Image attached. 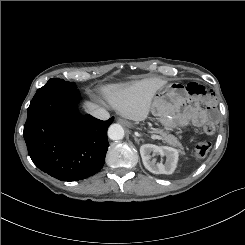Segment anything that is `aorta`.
I'll return each mask as SVG.
<instances>
[{"label": "aorta", "instance_id": "obj_1", "mask_svg": "<svg viewBox=\"0 0 245 245\" xmlns=\"http://www.w3.org/2000/svg\"><path fill=\"white\" fill-rule=\"evenodd\" d=\"M108 136L111 140H121L124 137V129L120 124H112L108 129Z\"/></svg>", "mask_w": 245, "mask_h": 245}]
</instances>
